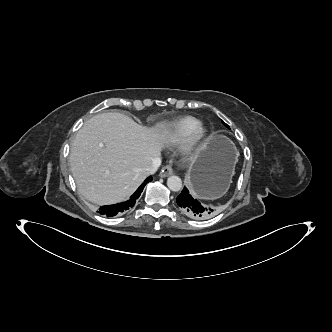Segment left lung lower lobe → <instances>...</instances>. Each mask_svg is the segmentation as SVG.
<instances>
[{
  "label": "left lung lower lobe",
  "instance_id": "1",
  "mask_svg": "<svg viewBox=\"0 0 332 332\" xmlns=\"http://www.w3.org/2000/svg\"><path fill=\"white\" fill-rule=\"evenodd\" d=\"M176 201L182 212L192 219L205 220L213 216V210L203 207L190 195L186 187H184L181 194L176 198Z\"/></svg>",
  "mask_w": 332,
  "mask_h": 332
}]
</instances>
